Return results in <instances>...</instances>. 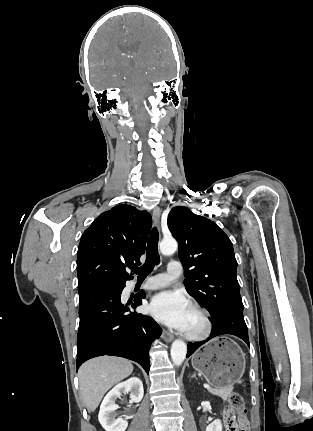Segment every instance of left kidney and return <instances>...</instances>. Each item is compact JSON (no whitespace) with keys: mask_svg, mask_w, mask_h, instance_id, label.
Returning a JSON list of instances; mask_svg holds the SVG:
<instances>
[{"mask_svg":"<svg viewBox=\"0 0 313 431\" xmlns=\"http://www.w3.org/2000/svg\"><path fill=\"white\" fill-rule=\"evenodd\" d=\"M206 431H222V423L219 419L214 420L206 427Z\"/></svg>","mask_w":313,"mask_h":431,"instance_id":"1","label":"left kidney"}]
</instances>
